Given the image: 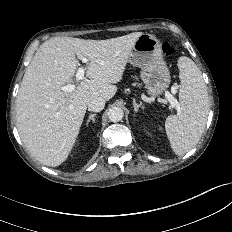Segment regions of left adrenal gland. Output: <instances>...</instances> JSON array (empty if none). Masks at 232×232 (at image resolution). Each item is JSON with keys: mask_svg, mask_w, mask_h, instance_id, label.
<instances>
[{"mask_svg": "<svg viewBox=\"0 0 232 232\" xmlns=\"http://www.w3.org/2000/svg\"><path fill=\"white\" fill-rule=\"evenodd\" d=\"M133 107L136 113L138 112L139 108L144 109V106L142 104H137L135 99H133Z\"/></svg>", "mask_w": 232, "mask_h": 232, "instance_id": "1", "label": "left adrenal gland"}]
</instances>
